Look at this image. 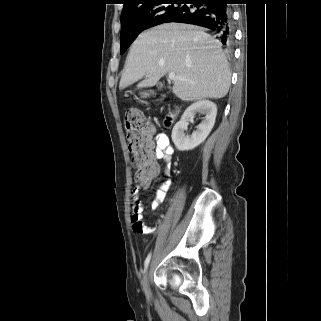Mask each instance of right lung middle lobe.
<instances>
[{"mask_svg":"<svg viewBox=\"0 0 321 321\" xmlns=\"http://www.w3.org/2000/svg\"><path fill=\"white\" fill-rule=\"evenodd\" d=\"M184 1H153L139 11L121 18L120 53L123 54L142 31L164 23V20L177 11Z\"/></svg>","mask_w":321,"mask_h":321,"instance_id":"obj_1","label":"right lung middle lobe"}]
</instances>
